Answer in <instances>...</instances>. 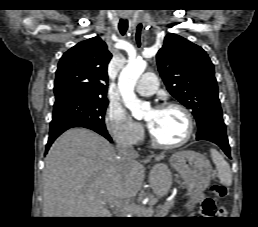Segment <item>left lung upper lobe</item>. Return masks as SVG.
I'll list each match as a JSON object with an SVG mask.
<instances>
[{
	"label": "left lung upper lobe",
	"mask_w": 258,
	"mask_h": 227,
	"mask_svg": "<svg viewBox=\"0 0 258 227\" xmlns=\"http://www.w3.org/2000/svg\"><path fill=\"white\" fill-rule=\"evenodd\" d=\"M156 58L168 91L192 110L197 137L212 131L226 132L214 66L207 53L181 36L168 34Z\"/></svg>",
	"instance_id": "5c2ea615"
}]
</instances>
